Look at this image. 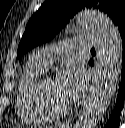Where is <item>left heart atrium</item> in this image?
<instances>
[{
	"instance_id": "39dd6f15",
	"label": "left heart atrium",
	"mask_w": 125,
	"mask_h": 128,
	"mask_svg": "<svg viewBox=\"0 0 125 128\" xmlns=\"http://www.w3.org/2000/svg\"><path fill=\"white\" fill-rule=\"evenodd\" d=\"M59 89L67 102L76 101L86 90L87 75L78 63H67L57 77Z\"/></svg>"
}]
</instances>
